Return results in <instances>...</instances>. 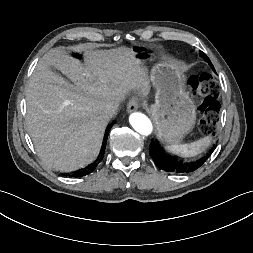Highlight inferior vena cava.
Returning a JSON list of instances; mask_svg holds the SVG:
<instances>
[{
	"label": "inferior vena cava",
	"mask_w": 253,
	"mask_h": 253,
	"mask_svg": "<svg viewBox=\"0 0 253 253\" xmlns=\"http://www.w3.org/2000/svg\"><path fill=\"white\" fill-rule=\"evenodd\" d=\"M118 108H119L118 104L115 103L106 104L104 108L105 116L109 119L112 118L117 113Z\"/></svg>",
	"instance_id": "602c4592"
}]
</instances>
